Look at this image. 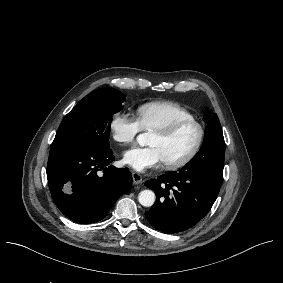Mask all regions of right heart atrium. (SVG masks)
Listing matches in <instances>:
<instances>
[{"mask_svg": "<svg viewBox=\"0 0 283 283\" xmlns=\"http://www.w3.org/2000/svg\"><path fill=\"white\" fill-rule=\"evenodd\" d=\"M141 129L139 121L121 111L114 112L108 124L111 140L119 145L131 144Z\"/></svg>", "mask_w": 283, "mask_h": 283, "instance_id": "1", "label": "right heart atrium"}]
</instances>
